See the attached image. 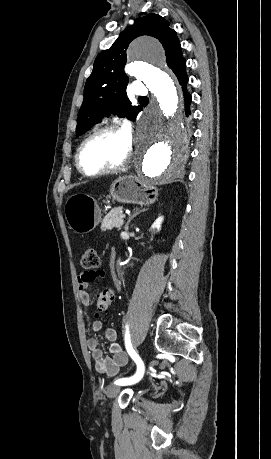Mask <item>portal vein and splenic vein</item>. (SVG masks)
Segmentation results:
<instances>
[{
  "label": "portal vein and splenic vein",
  "mask_w": 271,
  "mask_h": 459,
  "mask_svg": "<svg viewBox=\"0 0 271 459\" xmlns=\"http://www.w3.org/2000/svg\"><path fill=\"white\" fill-rule=\"evenodd\" d=\"M120 217H121L122 219H124L125 217H127V214H124V215H123V214H120Z\"/></svg>",
  "instance_id": "portal-vein-and-splenic-vein-1"
}]
</instances>
